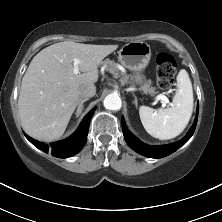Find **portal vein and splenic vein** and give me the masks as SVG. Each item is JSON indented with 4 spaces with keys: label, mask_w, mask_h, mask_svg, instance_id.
Returning a JSON list of instances; mask_svg holds the SVG:
<instances>
[{
    "label": "portal vein and splenic vein",
    "mask_w": 222,
    "mask_h": 222,
    "mask_svg": "<svg viewBox=\"0 0 222 222\" xmlns=\"http://www.w3.org/2000/svg\"><path fill=\"white\" fill-rule=\"evenodd\" d=\"M79 64H80V60L79 59H74L73 60V66H74L73 73L76 74V75L79 74ZM156 100L157 101L161 100L163 106H165L166 104L169 103L168 98L166 96H164L163 94L158 95L156 97Z\"/></svg>",
    "instance_id": "obj_1"
}]
</instances>
